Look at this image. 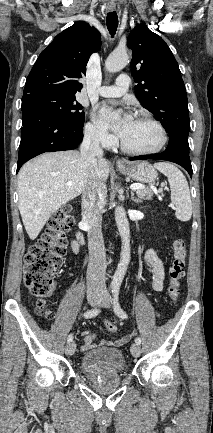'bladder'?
<instances>
[{
  "mask_svg": "<svg viewBox=\"0 0 213 433\" xmlns=\"http://www.w3.org/2000/svg\"><path fill=\"white\" fill-rule=\"evenodd\" d=\"M125 358L122 350L100 347L88 351L80 360V371L87 377H108L123 373Z\"/></svg>",
  "mask_w": 213,
  "mask_h": 433,
  "instance_id": "bladder-1",
  "label": "bladder"
}]
</instances>
